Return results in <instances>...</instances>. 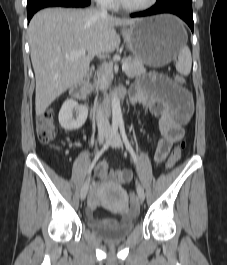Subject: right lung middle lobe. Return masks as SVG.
<instances>
[{"label":"right lung middle lobe","mask_w":227,"mask_h":265,"mask_svg":"<svg viewBox=\"0 0 227 265\" xmlns=\"http://www.w3.org/2000/svg\"><path fill=\"white\" fill-rule=\"evenodd\" d=\"M34 1H36V0H27V4H30V3L34 2Z\"/></svg>","instance_id":"right-lung-middle-lobe-1"}]
</instances>
